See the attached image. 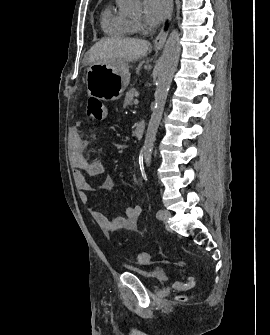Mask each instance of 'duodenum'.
Listing matches in <instances>:
<instances>
[{"label": "duodenum", "mask_w": 270, "mask_h": 335, "mask_svg": "<svg viewBox=\"0 0 270 335\" xmlns=\"http://www.w3.org/2000/svg\"><path fill=\"white\" fill-rule=\"evenodd\" d=\"M144 132H145V123L143 121H139L134 129V136L137 139H142L144 136Z\"/></svg>", "instance_id": "obj_1"}]
</instances>
